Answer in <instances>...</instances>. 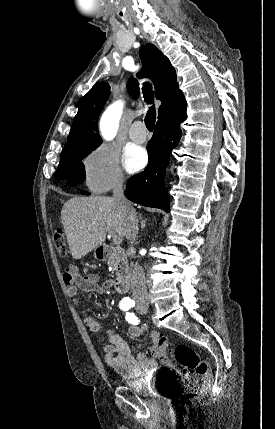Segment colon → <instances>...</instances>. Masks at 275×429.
Masks as SVG:
<instances>
[{
	"label": "colon",
	"instance_id": "1",
	"mask_svg": "<svg viewBox=\"0 0 275 429\" xmlns=\"http://www.w3.org/2000/svg\"><path fill=\"white\" fill-rule=\"evenodd\" d=\"M53 242L56 251L65 256L67 246L62 231L59 229L54 232ZM156 355L164 362L166 371L172 377L182 379L184 387L190 388L181 395L182 403L192 405L199 401L210 384L209 364L188 345L179 344L171 351L165 338L159 342ZM171 358L179 365V370L173 367ZM200 378H204L201 385H199Z\"/></svg>",
	"mask_w": 275,
	"mask_h": 429
}]
</instances>
